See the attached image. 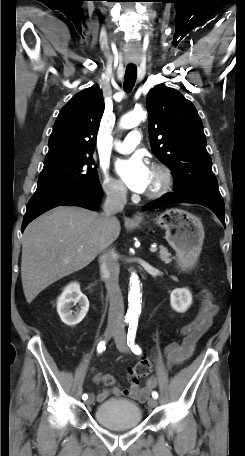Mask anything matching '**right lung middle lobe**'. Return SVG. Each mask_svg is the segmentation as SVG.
<instances>
[{
    "instance_id": "obj_1",
    "label": "right lung middle lobe",
    "mask_w": 245,
    "mask_h": 456,
    "mask_svg": "<svg viewBox=\"0 0 245 456\" xmlns=\"http://www.w3.org/2000/svg\"><path fill=\"white\" fill-rule=\"evenodd\" d=\"M93 164L92 156L84 155L44 165L34 196L99 186L97 169L92 167Z\"/></svg>"
}]
</instances>
